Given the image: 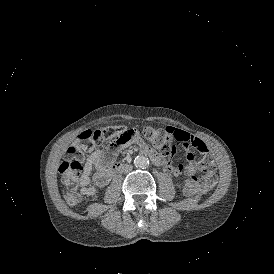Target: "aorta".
Wrapping results in <instances>:
<instances>
[{
    "mask_svg": "<svg viewBox=\"0 0 274 274\" xmlns=\"http://www.w3.org/2000/svg\"><path fill=\"white\" fill-rule=\"evenodd\" d=\"M134 165L137 168L145 169L149 165V159L147 157H145V156H137L134 159Z\"/></svg>",
    "mask_w": 274,
    "mask_h": 274,
    "instance_id": "1",
    "label": "aorta"
}]
</instances>
